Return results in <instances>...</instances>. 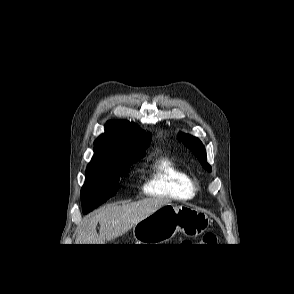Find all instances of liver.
I'll list each match as a JSON object with an SVG mask.
<instances>
[{
	"label": "liver",
	"mask_w": 294,
	"mask_h": 294,
	"mask_svg": "<svg viewBox=\"0 0 294 294\" xmlns=\"http://www.w3.org/2000/svg\"><path fill=\"white\" fill-rule=\"evenodd\" d=\"M169 202L166 199L147 198L103 207L83 220L75 244H105L107 241H113ZM98 223L99 233L96 230Z\"/></svg>",
	"instance_id": "6515ba94"
}]
</instances>
